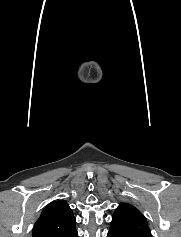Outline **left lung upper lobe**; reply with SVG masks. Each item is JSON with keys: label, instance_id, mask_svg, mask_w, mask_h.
Returning a JSON list of instances; mask_svg holds the SVG:
<instances>
[{"label": "left lung upper lobe", "instance_id": "5c2ea615", "mask_svg": "<svg viewBox=\"0 0 181 237\" xmlns=\"http://www.w3.org/2000/svg\"><path fill=\"white\" fill-rule=\"evenodd\" d=\"M109 232L130 237H152L145 216L128 203H121L116 208Z\"/></svg>", "mask_w": 181, "mask_h": 237}]
</instances>
